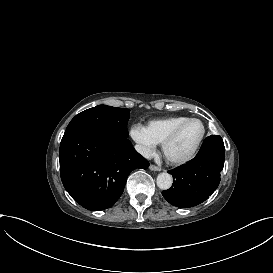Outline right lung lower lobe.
<instances>
[{
	"label": "right lung lower lobe",
	"instance_id": "right-lung-lower-lobe-1",
	"mask_svg": "<svg viewBox=\"0 0 273 273\" xmlns=\"http://www.w3.org/2000/svg\"><path fill=\"white\" fill-rule=\"evenodd\" d=\"M59 159L65 189L78 204L92 211L113 206L131 171L149 166L127 138L91 131L64 135Z\"/></svg>",
	"mask_w": 273,
	"mask_h": 273
}]
</instances>
